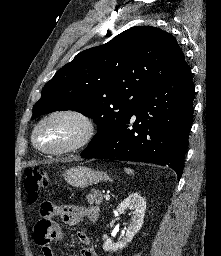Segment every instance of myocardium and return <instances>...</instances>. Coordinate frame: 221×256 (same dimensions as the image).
<instances>
[{
	"label": "myocardium",
	"instance_id": "obj_1",
	"mask_svg": "<svg viewBox=\"0 0 221 256\" xmlns=\"http://www.w3.org/2000/svg\"><path fill=\"white\" fill-rule=\"evenodd\" d=\"M59 117H69L76 120L81 127V131L77 139L73 142L58 148H45L41 146L37 141V134L40 128L52 119ZM97 133V127L94 119L86 112L76 108H60L49 112L36 124L32 132V142L34 146L46 153L52 155L66 154L77 151L87 146L95 137Z\"/></svg>",
	"mask_w": 221,
	"mask_h": 256
}]
</instances>
